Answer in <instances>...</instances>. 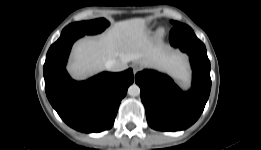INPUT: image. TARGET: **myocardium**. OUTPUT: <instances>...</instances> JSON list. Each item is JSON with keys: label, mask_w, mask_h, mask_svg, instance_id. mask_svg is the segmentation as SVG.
Returning <instances> with one entry per match:
<instances>
[{"label": "myocardium", "mask_w": 261, "mask_h": 150, "mask_svg": "<svg viewBox=\"0 0 261 150\" xmlns=\"http://www.w3.org/2000/svg\"><path fill=\"white\" fill-rule=\"evenodd\" d=\"M158 34H159V35L163 34V29H159V30H158Z\"/></svg>", "instance_id": "myocardium-1"}]
</instances>
